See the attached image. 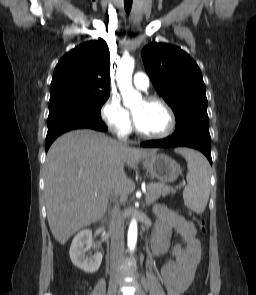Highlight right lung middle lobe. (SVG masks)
I'll return each instance as SVG.
<instances>
[{"label": "right lung middle lobe", "mask_w": 256, "mask_h": 295, "mask_svg": "<svg viewBox=\"0 0 256 295\" xmlns=\"http://www.w3.org/2000/svg\"><path fill=\"white\" fill-rule=\"evenodd\" d=\"M109 96L63 97L49 101L48 121L56 118H94L101 117L100 110Z\"/></svg>", "instance_id": "right-lung-middle-lobe-1"}]
</instances>
